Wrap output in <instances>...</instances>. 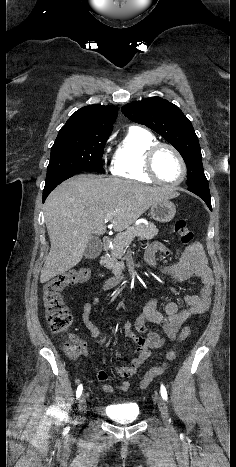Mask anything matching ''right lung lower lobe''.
Returning <instances> with one entry per match:
<instances>
[{
  "instance_id": "right-lung-lower-lobe-1",
  "label": "right lung lower lobe",
  "mask_w": 236,
  "mask_h": 467,
  "mask_svg": "<svg viewBox=\"0 0 236 467\" xmlns=\"http://www.w3.org/2000/svg\"><path fill=\"white\" fill-rule=\"evenodd\" d=\"M79 172H81V171L66 172V173H63V174H61L59 176H56V177H53V178H50V179H46L45 187H44V190H43V202L45 201L47 196L50 194V192L57 185H59L64 180L74 176L76 173H79Z\"/></svg>"
}]
</instances>
